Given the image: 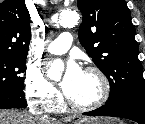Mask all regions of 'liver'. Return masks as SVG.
Returning a JSON list of instances; mask_svg holds the SVG:
<instances>
[{"label": "liver", "mask_w": 145, "mask_h": 124, "mask_svg": "<svg viewBox=\"0 0 145 124\" xmlns=\"http://www.w3.org/2000/svg\"><path fill=\"white\" fill-rule=\"evenodd\" d=\"M65 122L34 118L29 114L13 110H0V124H64Z\"/></svg>", "instance_id": "liver-1"}]
</instances>
